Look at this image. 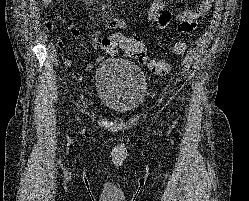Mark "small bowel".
Listing matches in <instances>:
<instances>
[{
	"mask_svg": "<svg viewBox=\"0 0 249 201\" xmlns=\"http://www.w3.org/2000/svg\"><path fill=\"white\" fill-rule=\"evenodd\" d=\"M45 3H50L51 0H43ZM215 0H200L199 4L195 9L183 11L177 15H173L169 10L166 9L167 0H153L148 10V20L155 24L159 29H164L175 24V30L179 33H189L197 25L199 19L208 13L211 9ZM44 28L48 31L54 29V24L50 21L44 23ZM126 23L123 18H111L107 21L105 26L95 33L92 34L90 42L93 48H97L99 45L100 36L102 33L110 30H124ZM70 33L74 38H79L80 28L77 24H73L69 27ZM123 36L120 33H116ZM104 60L103 56L96 58L95 63H89L85 66L86 72H92L95 65L100 64ZM64 65L67 68L72 67L73 62L70 59L64 61ZM74 78L80 79L81 75L78 72L73 73Z\"/></svg>",
	"mask_w": 249,
	"mask_h": 201,
	"instance_id": "small-bowel-1",
	"label": "small bowel"
}]
</instances>
